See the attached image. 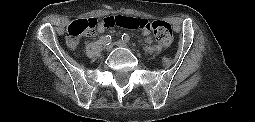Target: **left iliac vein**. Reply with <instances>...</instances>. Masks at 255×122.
<instances>
[{
    "instance_id": "1",
    "label": "left iliac vein",
    "mask_w": 255,
    "mask_h": 122,
    "mask_svg": "<svg viewBox=\"0 0 255 122\" xmlns=\"http://www.w3.org/2000/svg\"><path fill=\"white\" fill-rule=\"evenodd\" d=\"M115 45L121 48H129V46L121 40L116 41Z\"/></svg>"
}]
</instances>
